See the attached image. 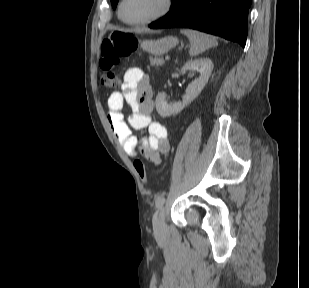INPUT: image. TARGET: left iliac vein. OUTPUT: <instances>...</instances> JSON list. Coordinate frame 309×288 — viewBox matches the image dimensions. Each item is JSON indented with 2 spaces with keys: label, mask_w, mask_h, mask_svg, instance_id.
Segmentation results:
<instances>
[{
  "label": "left iliac vein",
  "mask_w": 309,
  "mask_h": 288,
  "mask_svg": "<svg viewBox=\"0 0 309 288\" xmlns=\"http://www.w3.org/2000/svg\"><path fill=\"white\" fill-rule=\"evenodd\" d=\"M154 231L158 235H162L166 232L165 223V208L159 207L153 218Z\"/></svg>",
  "instance_id": "left-iliac-vein-1"
}]
</instances>
